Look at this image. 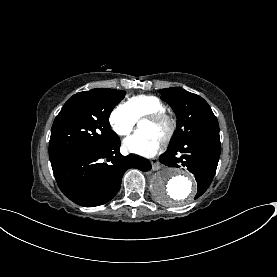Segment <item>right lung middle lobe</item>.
Returning a JSON list of instances; mask_svg holds the SVG:
<instances>
[{
    "label": "right lung middle lobe",
    "mask_w": 277,
    "mask_h": 277,
    "mask_svg": "<svg viewBox=\"0 0 277 277\" xmlns=\"http://www.w3.org/2000/svg\"><path fill=\"white\" fill-rule=\"evenodd\" d=\"M126 92L96 88L73 95L56 116L49 141V157L80 148H99L119 140L109 116Z\"/></svg>",
    "instance_id": "1"
}]
</instances>
